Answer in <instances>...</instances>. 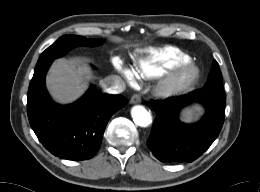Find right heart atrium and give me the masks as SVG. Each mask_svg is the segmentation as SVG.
<instances>
[{"label":"right heart atrium","instance_id":"d8ad5b80","mask_svg":"<svg viewBox=\"0 0 260 192\" xmlns=\"http://www.w3.org/2000/svg\"><path fill=\"white\" fill-rule=\"evenodd\" d=\"M114 67L127 82L132 83L134 81V74L131 69L124 66L120 61L116 60L114 62Z\"/></svg>","mask_w":260,"mask_h":192}]
</instances>
